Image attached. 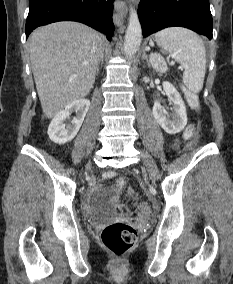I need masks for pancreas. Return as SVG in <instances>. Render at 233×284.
I'll return each mask as SVG.
<instances>
[{"label": "pancreas", "mask_w": 233, "mask_h": 284, "mask_svg": "<svg viewBox=\"0 0 233 284\" xmlns=\"http://www.w3.org/2000/svg\"><path fill=\"white\" fill-rule=\"evenodd\" d=\"M153 67L158 70V71H166L167 66L165 60L159 56V55H154V60H153Z\"/></svg>", "instance_id": "1"}]
</instances>
